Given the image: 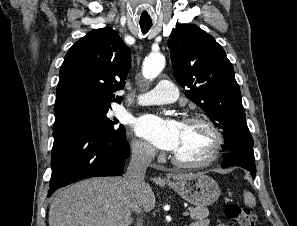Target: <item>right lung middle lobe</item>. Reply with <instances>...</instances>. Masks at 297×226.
I'll return each instance as SVG.
<instances>
[{"label": "right lung middle lobe", "mask_w": 297, "mask_h": 226, "mask_svg": "<svg viewBox=\"0 0 297 226\" xmlns=\"http://www.w3.org/2000/svg\"><path fill=\"white\" fill-rule=\"evenodd\" d=\"M108 110L96 111L89 110L79 112L68 117H65L61 120L55 121V124H76L88 127L98 133H102L105 135H109L112 137H124L125 136V128L123 125L119 127L116 126L118 120L114 118V120H110L107 117Z\"/></svg>", "instance_id": "right-lung-middle-lobe-1"}]
</instances>
